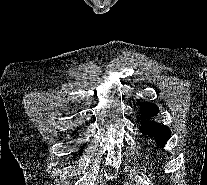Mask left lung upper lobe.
<instances>
[{
	"instance_id": "5c2ea615",
	"label": "left lung upper lobe",
	"mask_w": 207,
	"mask_h": 185,
	"mask_svg": "<svg viewBox=\"0 0 207 185\" xmlns=\"http://www.w3.org/2000/svg\"><path fill=\"white\" fill-rule=\"evenodd\" d=\"M140 113L143 116L142 125L140 127L141 132L153 137L158 145L164 146L171 136L169 128L160 123L146 120L147 117L154 116L158 113V107L155 104L144 103L140 107Z\"/></svg>"
}]
</instances>
